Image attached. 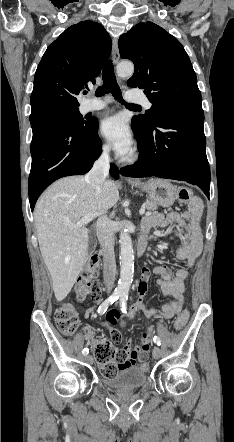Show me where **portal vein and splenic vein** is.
I'll list each match as a JSON object with an SVG mask.
<instances>
[{
    "instance_id": "18ae733b",
    "label": "portal vein and splenic vein",
    "mask_w": 234,
    "mask_h": 442,
    "mask_svg": "<svg viewBox=\"0 0 234 442\" xmlns=\"http://www.w3.org/2000/svg\"><path fill=\"white\" fill-rule=\"evenodd\" d=\"M103 213H104V212H102V213H91V214H88V215L84 216L83 218H81L78 222H76V223H70V222H68L67 225H68L70 228H80V227H83V226L87 225V224H88L89 222H91L95 217H97L98 215L103 214ZM139 213H140V215L145 214V208L142 207V208L140 209Z\"/></svg>"
}]
</instances>
